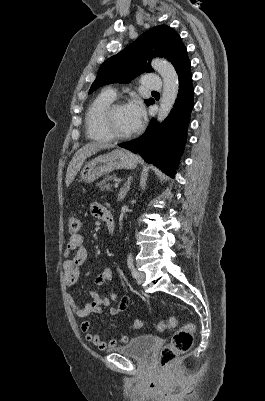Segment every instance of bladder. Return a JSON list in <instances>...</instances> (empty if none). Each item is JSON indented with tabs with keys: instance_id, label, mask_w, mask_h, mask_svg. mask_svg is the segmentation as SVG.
Listing matches in <instances>:
<instances>
[{
	"instance_id": "31cf9c89",
	"label": "bladder",
	"mask_w": 265,
	"mask_h": 401,
	"mask_svg": "<svg viewBox=\"0 0 265 401\" xmlns=\"http://www.w3.org/2000/svg\"><path fill=\"white\" fill-rule=\"evenodd\" d=\"M154 345L155 340L152 336L141 335L133 337L126 346L111 349V351L120 352L123 356L147 358Z\"/></svg>"
}]
</instances>
